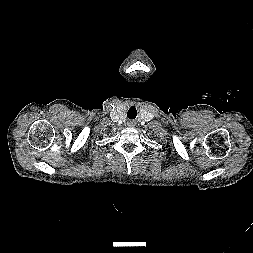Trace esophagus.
<instances>
[{
  "mask_svg": "<svg viewBox=\"0 0 253 253\" xmlns=\"http://www.w3.org/2000/svg\"><path fill=\"white\" fill-rule=\"evenodd\" d=\"M127 125L130 126V127H133L135 125V122L133 120H129L127 122Z\"/></svg>",
  "mask_w": 253,
  "mask_h": 253,
  "instance_id": "1",
  "label": "esophagus"
}]
</instances>
